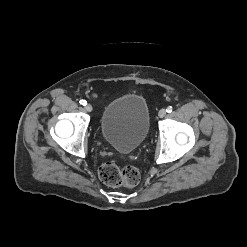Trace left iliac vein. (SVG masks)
Here are the masks:
<instances>
[{"label": "left iliac vein", "instance_id": "1", "mask_svg": "<svg viewBox=\"0 0 247 247\" xmlns=\"http://www.w3.org/2000/svg\"><path fill=\"white\" fill-rule=\"evenodd\" d=\"M160 118H163L166 115V110L165 109H161L158 113Z\"/></svg>", "mask_w": 247, "mask_h": 247}]
</instances>
